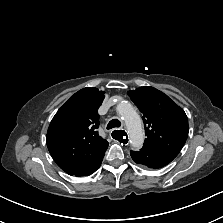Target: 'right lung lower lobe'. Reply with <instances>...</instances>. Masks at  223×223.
Segmentation results:
<instances>
[{"instance_id":"obj_1","label":"right lung lower lobe","mask_w":223,"mask_h":223,"mask_svg":"<svg viewBox=\"0 0 223 223\" xmlns=\"http://www.w3.org/2000/svg\"><path fill=\"white\" fill-rule=\"evenodd\" d=\"M102 159L100 161H98L95 165H93L91 168H89L88 170L78 173L75 176H88V175L94 173L100 167Z\"/></svg>"}]
</instances>
